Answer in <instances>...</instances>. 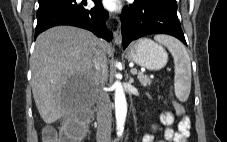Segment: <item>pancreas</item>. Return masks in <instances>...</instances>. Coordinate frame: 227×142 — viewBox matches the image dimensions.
<instances>
[{"label": "pancreas", "mask_w": 227, "mask_h": 142, "mask_svg": "<svg viewBox=\"0 0 227 142\" xmlns=\"http://www.w3.org/2000/svg\"><path fill=\"white\" fill-rule=\"evenodd\" d=\"M137 78L142 86H148L152 83V80L148 76H146L142 73H139Z\"/></svg>", "instance_id": "pancreas-1"}]
</instances>
